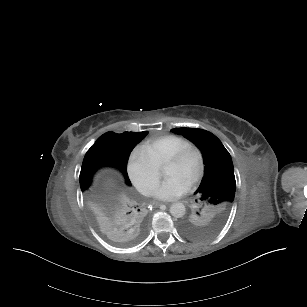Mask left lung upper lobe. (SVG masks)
I'll return each instance as SVG.
<instances>
[{
  "instance_id": "1",
  "label": "left lung upper lobe",
  "mask_w": 307,
  "mask_h": 307,
  "mask_svg": "<svg viewBox=\"0 0 307 307\" xmlns=\"http://www.w3.org/2000/svg\"><path fill=\"white\" fill-rule=\"evenodd\" d=\"M192 141L202 152L204 177L197 191L194 211L182 220L184 235L203 240L217 234L226 222L234 201L236 181L231 156L212 133L193 128L171 130Z\"/></svg>"
}]
</instances>
